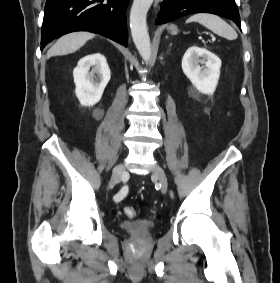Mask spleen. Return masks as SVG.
I'll return each instance as SVG.
<instances>
[{
    "label": "spleen",
    "instance_id": "3e777b00",
    "mask_svg": "<svg viewBox=\"0 0 280 283\" xmlns=\"http://www.w3.org/2000/svg\"><path fill=\"white\" fill-rule=\"evenodd\" d=\"M192 22L200 23L210 31L228 40H234L237 38L236 31L228 23L216 15L207 13L195 14L186 20V23Z\"/></svg>",
    "mask_w": 280,
    "mask_h": 283
}]
</instances>
